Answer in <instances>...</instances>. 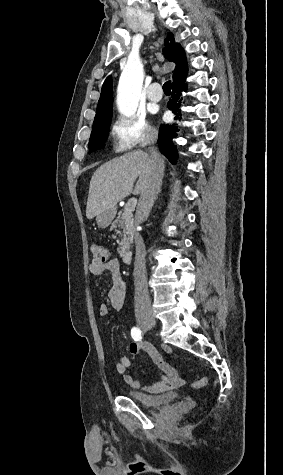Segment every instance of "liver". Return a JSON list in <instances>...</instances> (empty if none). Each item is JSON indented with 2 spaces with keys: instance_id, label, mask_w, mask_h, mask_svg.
Wrapping results in <instances>:
<instances>
[{
  "instance_id": "obj_1",
  "label": "liver",
  "mask_w": 283,
  "mask_h": 475,
  "mask_svg": "<svg viewBox=\"0 0 283 475\" xmlns=\"http://www.w3.org/2000/svg\"><path fill=\"white\" fill-rule=\"evenodd\" d=\"M150 160L149 154L143 150H134L100 166L91 178L86 218L92 220L105 210L116 208L118 202L131 192L134 196L143 194L151 170ZM138 176L139 180L133 190Z\"/></svg>"
}]
</instances>
